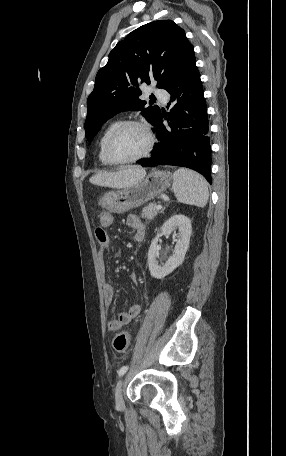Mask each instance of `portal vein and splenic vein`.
I'll return each mask as SVG.
<instances>
[{"label":"portal vein and splenic vein","instance_id":"portal-vein-and-splenic-vein-1","mask_svg":"<svg viewBox=\"0 0 286 456\" xmlns=\"http://www.w3.org/2000/svg\"><path fill=\"white\" fill-rule=\"evenodd\" d=\"M161 208H162V205H160V204L156 206V209H157V210H159V209H161Z\"/></svg>","mask_w":286,"mask_h":456}]
</instances>
